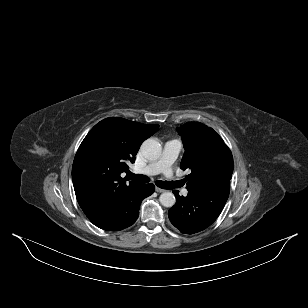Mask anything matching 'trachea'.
Returning <instances> with one entry per match:
<instances>
[{
    "instance_id": "3493384b",
    "label": "trachea",
    "mask_w": 308,
    "mask_h": 308,
    "mask_svg": "<svg viewBox=\"0 0 308 308\" xmlns=\"http://www.w3.org/2000/svg\"><path fill=\"white\" fill-rule=\"evenodd\" d=\"M128 178L133 181L139 182V183H148L150 181V179L146 175H142V174L129 173ZM156 185L162 189H173V188L179 187L180 183L159 180V181H156Z\"/></svg>"
}]
</instances>
